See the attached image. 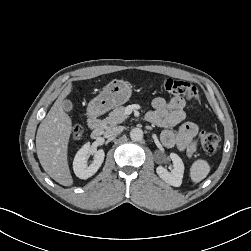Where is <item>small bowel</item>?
Returning <instances> with one entry per match:
<instances>
[{"mask_svg": "<svg viewBox=\"0 0 251 251\" xmlns=\"http://www.w3.org/2000/svg\"><path fill=\"white\" fill-rule=\"evenodd\" d=\"M153 111L146 115V120L156 126L166 128L161 134V142L167 148L176 147L191 156L196 149L198 126L186 121V101L176 96L170 100L156 97L152 101ZM178 126V130L173 128Z\"/></svg>", "mask_w": 251, "mask_h": 251, "instance_id": "small-bowel-1", "label": "small bowel"}]
</instances>
